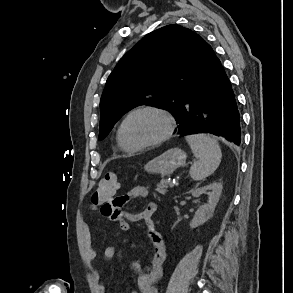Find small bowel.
Returning a JSON list of instances; mask_svg holds the SVG:
<instances>
[{
    "mask_svg": "<svg viewBox=\"0 0 293 293\" xmlns=\"http://www.w3.org/2000/svg\"><path fill=\"white\" fill-rule=\"evenodd\" d=\"M149 191L146 187L136 186L128 193L115 197V204H107L101 208V212L113 222H118L120 230L123 233L129 231L130 223L143 222L147 226V233L152 242L154 254L152 260L148 264H141L137 260H133L131 265L134 270L139 272L138 291L132 293H158L157 282L162 276L163 266L166 259V249L162 234L157 230L156 223L153 219L157 211V204L148 203L139 213H131L122 209V207L134 198H147ZM83 242L85 256L89 263L93 262L97 256L96 250L92 245V234L87 224L83 225ZM116 250L113 245L105 247L103 256L106 259H112ZM100 276L94 275V280L98 283ZM98 289L106 292V287L98 283Z\"/></svg>",
    "mask_w": 293,
    "mask_h": 293,
    "instance_id": "obj_1",
    "label": "small bowel"
}]
</instances>
